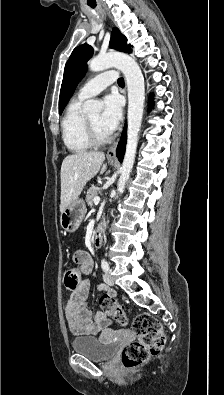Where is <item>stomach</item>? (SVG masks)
Here are the masks:
<instances>
[{
	"label": "stomach",
	"instance_id": "1",
	"mask_svg": "<svg viewBox=\"0 0 224 395\" xmlns=\"http://www.w3.org/2000/svg\"><path fill=\"white\" fill-rule=\"evenodd\" d=\"M86 214V206L82 199L72 202L60 215V225L67 232H74L80 226Z\"/></svg>",
	"mask_w": 224,
	"mask_h": 395
}]
</instances>
